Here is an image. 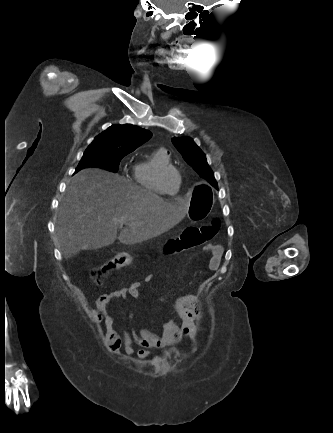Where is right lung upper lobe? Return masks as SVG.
<instances>
[{
  "mask_svg": "<svg viewBox=\"0 0 333 433\" xmlns=\"http://www.w3.org/2000/svg\"><path fill=\"white\" fill-rule=\"evenodd\" d=\"M152 133L132 124L112 125L98 135L89 146H99L130 153L149 140Z\"/></svg>",
  "mask_w": 333,
  "mask_h": 433,
  "instance_id": "cb5924a9",
  "label": "right lung upper lobe"
}]
</instances>
